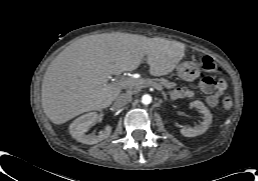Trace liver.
I'll return each instance as SVG.
<instances>
[{"mask_svg": "<svg viewBox=\"0 0 258 181\" xmlns=\"http://www.w3.org/2000/svg\"><path fill=\"white\" fill-rule=\"evenodd\" d=\"M185 46L165 38L129 33H103L66 47L48 66L41 90L42 107L54 124L109 107L121 89L108 84L110 75L139 67L143 60L152 76L172 72Z\"/></svg>", "mask_w": 258, "mask_h": 181, "instance_id": "1", "label": "liver"}]
</instances>
